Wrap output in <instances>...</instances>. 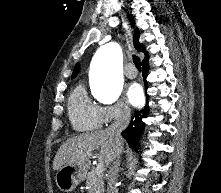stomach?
Instances as JSON below:
<instances>
[{"instance_id":"stomach-1","label":"stomach","mask_w":221,"mask_h":193,"mask_svg":"<svg viewBox=\"0 0 221 193\" xmlns=\"http://www.w3.org/2000/svg\"><path fill=\"white\" fill-rule=\"evenodd\" d=\"M86 176L87 169L85 166L67 164L57 171L55 182L61 191L71 192Z\"/></svg>"}]
</instances>
